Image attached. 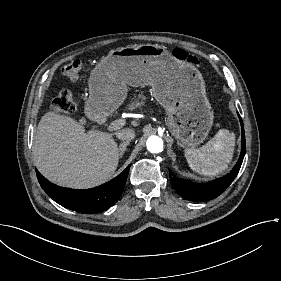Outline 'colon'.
<instances>
[{
  "label": "colon",
  "mask_w": 281,
  "mask_h": 281,
  "mask_svg": "<svg viewBox=\"0 0 281 281\" xmlns=\"http://www.w3.org/2000/svg\"><path fill=\"white\" fill-rule=\"evenodd\" d=\"M175 57L178 60L196 64L198 57L189 54L184 49L178 48L175 51ZM83 63L80 60H73L67 63L62 69V75L69 81H76L81 77ZM54 113L72 114L76 110V102L71 91H61L52 101Z\"/></svg>",
  "instance_id": "5ec220e1"
}]
</instances>
